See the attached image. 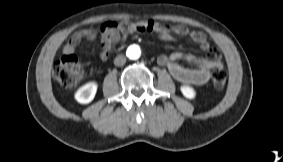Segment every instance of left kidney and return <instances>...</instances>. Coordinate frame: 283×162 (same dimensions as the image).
<instances>
[{
	"instance_id": "obj_1",
	"label": "left kidney",
	"mask_w": 283,
	"mask_h": 162,
	"mask_svg": "<svg viewBox=\"0 0 283 162\" xmlns=\"http://www.w3.org/2000/svg\"><path fill=\"white\" fill-rule=\"evenodd\" d=\"M181 92L187 99H193L196 95L194 89L189 85L181 86Z\"/></svg>"
}]
</instances>
